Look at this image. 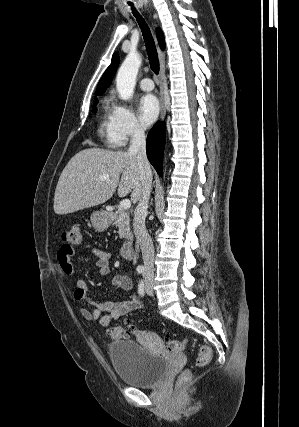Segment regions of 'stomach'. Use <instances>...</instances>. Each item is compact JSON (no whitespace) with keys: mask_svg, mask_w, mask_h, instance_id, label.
I'll use <instances>...</instances> for the list:
<instances>
[{"mask_svg":"<svg viewBox=\"0 0 299 427\" xmlns=\"http://www.w3.org/2000/svg\"><path fill=\"white\" fill-rule=\"evenodd\" d=\"M91 223L96 230H105L110 225V218L104 211H95L91 215Z\"/></svg>","mask_w":299,"mask_h":427,"instance_id":"obj_1","label":"stomach"}]
</instances>
